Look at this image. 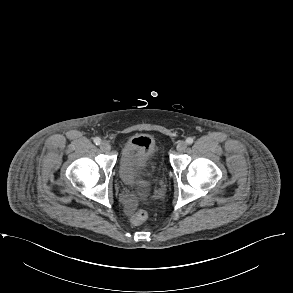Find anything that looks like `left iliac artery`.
Wrapping results in <instances>:
<instances>
[{"label":"left iliac artery","mask_w":293,"mask_h":293,"mask_svg":"<svg viewBox=\"0 0 293 293\" xmlns=\"http://www.w3.org/2000/svg\"><path fill=\"white\" fill-rule=\"evenodd\" d=\"M193 141H194V140H193L192 137H188V138L186 139V143L189 144V145L192 144Z\"/></svg>","instance_id":"left-iliac-artery-1"}]
</instances>
